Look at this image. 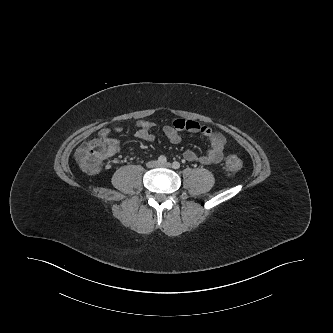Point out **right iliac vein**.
<instances>
[{
	"instance_id": "right-iliac-vein-1",
	"label": "right iliac vein",
	"mask_w": 333,
	"mask_h": 333,
	"mask_svg": "<svg viewBox=\"0 0 333 333\" xmlns=\"http://www.w3.org/2000/svg\"><path fill=\"white\" fill-rule=\"evenodd\" d=\"M150 167H156V166H158V162L157 161H152V162H150Z\"/></svg>"
}]
</instances>
